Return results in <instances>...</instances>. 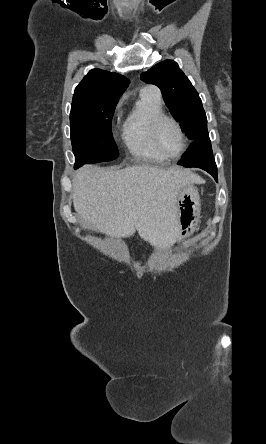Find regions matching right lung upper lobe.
<instances>
[{
	"label": "right lung upper lobe",
	"instance_id": "1",
	"mask_svg": "<svg viewBox=\"0 0 266 444\" xmlns=\"http://www.w3.org/2000/svg\"><path fill=\"white\" fill-rule=\"evenodd\" d=\"M128 84L129 80L120 74L93 69L75 88L72 106L102 99H119Z\"/></svg>",
	"mask_w": 266,
	"mask_h": 444
}]
</instances>
